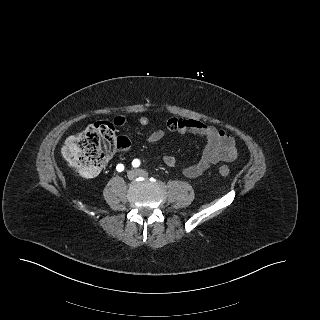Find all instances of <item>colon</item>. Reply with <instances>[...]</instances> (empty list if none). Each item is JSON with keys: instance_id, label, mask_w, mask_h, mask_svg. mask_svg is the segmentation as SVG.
Listing matches in <instances>:
<instances>
[{"instance_id": "5ec220e1", "label": "colon", "mask_w": 320, "mask_h": 320, "mask_svg": "<svg viewBox=\"0 0 320 320\" xmlns=\"http://www.w3.org/2000/svg\"><path fill=\"white\" fill-rule=\"evenodd\" d=\"M129 145L127 137L116 136L112 122L98 121L87 126L81 133L69 137L63 145L62 154L78 175L88 178L98 173L114 149H125ZM218 173L227 177L230 168L221 165Z\"/></svg>"}]
</instances>
